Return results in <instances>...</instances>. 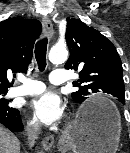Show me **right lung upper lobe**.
I'll return each instance as SVG.
<instances>
[{
    "label": "right lung upper lobe",
    "mask_w": 130,
    "mask_h": 153,
    "mask_svg": "<svg viewBox=\"0 0 130 153\" xmlns=\"http://www.w3.org/2000/svg\"><path fill=\"white\" fill-rule=\"evenodd\" d=\"M41 29L35 19L9 18L0 22V91H8L7 73L27 70Z\"/></svg>",
    "instance_id": "cb5924a9"
}]
</instances>
